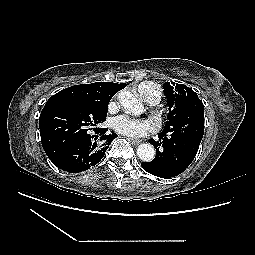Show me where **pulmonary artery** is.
Returning a JSON list of instances; mask_svg holds the SVG:
<instances>
[{
	"label": "pulmonary artery",
	"instance_id": "obj_1",
	"mask_svg": "<svg viewBox=\"0 0 255 255\" xmlns=\"http://www.w3.org/2000/svg\"><path fill=\"white\" fill-rule=\"evenodd\" d=\"M139 96L150 105L157 104L160 101L159 94L148 83H144L141 86Z\"/></svg>",
	"mask_w": 255,
	"mask_h": 255
}]
</instances>
